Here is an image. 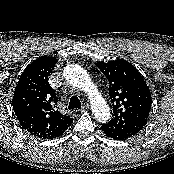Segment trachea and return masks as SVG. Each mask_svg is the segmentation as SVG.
I'll return each mask as SVG.
<instances>
[{
  "instance_id": "1",
  "label": "trachea",
  "mask_w": 174,
  "mask_h": 174,
  "mask_svg": "<svg viewBox=\"0 0 174 174\" xmlns=\"http://www.w3.org/2000/svg\"><path fill=\"white\" fill-rule=\"evenodd\" d=\"M81 102L77 96H72L70 98L69 104H68V109H80L81 108Z\"/></svg>"
}]
</instances>
